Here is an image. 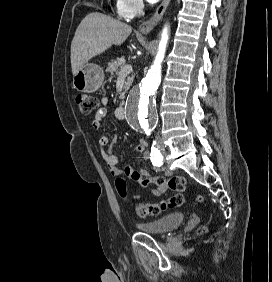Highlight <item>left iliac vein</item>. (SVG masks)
I'll use <instances>...</instances> for the list:
<instances>
[{
  "instance_id": "4c4485c4",
  "label": "left iliac vein",
  "mask_w": 272,
  "mask_h": 282,
  "mask_svg": "<svg viewBox=\"0 0 272 282\" xmlns=\"http://www.w3.org/2000/svg\"><path fill=\"white\" fill-rule=\"evenodd\" d=\"M160 145H161V151L164 152V144H163L162 141H161Z\"/></svg>"
}]
</instances>
